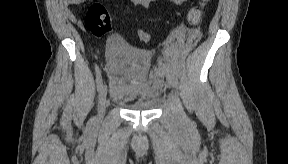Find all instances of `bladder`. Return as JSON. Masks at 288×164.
I'll return each instance as SVG.
<instances>
[{"label":"bladder","mask_w":288,"mask_h":164,"mask_svg":"<svg viewBox=\"0 0 288 164\" xmlns=\"http://www.w3.org/2000/svg\"><path fill=\"white\" fill-rule=\"evenodd\" d=\"M152 61L149 50L124 43H114L106 50V64L111 75L110 96L130 110L148 111L156 102L146 86Z\"/></svg>","instance_id":"1"}]
</instances>
